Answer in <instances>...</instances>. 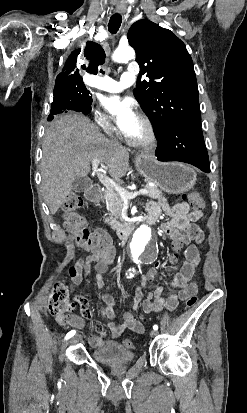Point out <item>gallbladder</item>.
I'll return each instance as SVG.
<instances>
[{
    "mask_svg": "<svg viewBox=\"0 0 247 413\" xmlns=\"http://www.w3.org/2000/svg\"><path fill=\"white\" fill-rule=\"evenodd\" d=\"M91 184L92 180L88 178V176H77V178L73 180V190H75V192H84Z\"/></svg>",
    "mask_w": 247,
    "mask_h": 413,
    "instance_id": "1",
    "label": "gallbladder"
}]
</instances>
